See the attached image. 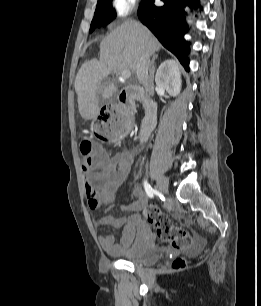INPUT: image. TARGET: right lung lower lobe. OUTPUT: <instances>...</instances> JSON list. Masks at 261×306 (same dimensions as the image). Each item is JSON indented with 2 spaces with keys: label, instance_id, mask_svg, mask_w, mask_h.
<instances>
[{
  "label": "right lung lower lobe",
  "instance_id": "obj_1",
  "mask_svg": "<svg viewBox=\"0 0 261 306\" xmlns=\"http://www.w3.org/2000/svg\"><path fill=\"white\" fill-rule=\"evenodd\" d=\"M164 5L156 7L154 0H143L138 9V18L158 38V40L180 60L188 70L189 61L186 42L183 38L187 25L185 23V6L197 7V0H162Z\"/></svg>",
  "mask_w": 261,
  "mask_h": 306
}]
</instances>
